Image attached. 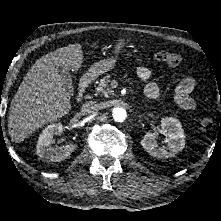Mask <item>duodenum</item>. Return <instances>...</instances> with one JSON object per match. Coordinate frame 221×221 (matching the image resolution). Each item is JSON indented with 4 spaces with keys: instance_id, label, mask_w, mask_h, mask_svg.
Segmentation results:
<instances>
[{
    "instance_id": "410a0bca",
    "label": "duodenum",
    "mask_w": 221,
    "mask_h": 221,
    "mask_svg": "<svg viewBox=\"0 0 221 221\" xmlns=\"http://www.w3.org/2000/svg\"><path fill=\"white\" fill-rule=\"evenodd\" d=\"M93 77L91 74H85L82 76L79 82L77 100L81 101L84 97V94L88 88V86L92 83Z\"/></svg>"
}]
</instances>
